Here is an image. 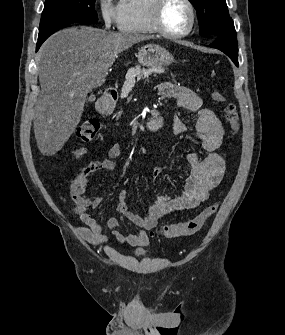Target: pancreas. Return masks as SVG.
I'll list each match as a JSON object with an SVG mask.
<instances>
[{
	"label": "pancreas",
	"mask_w": 285,
	"mask_h": 335,
	"mask_svg": "<svg viewBox=\"0 0 285 335\" xmlns=\"http://www.w3.org/2000/svg\"><path fill=\"white\" fill-rule=\"evenodd\" d=\"M161 72H164L162 66H148V70L136 66V68H133V71L126 72L121 91L123 93H129L130 90H136V84L140 83V78L145 77L146 81H151L156 74H161Z\"/></svg>",
	"instance_id": "pancreas-1"
}]
</instances>
